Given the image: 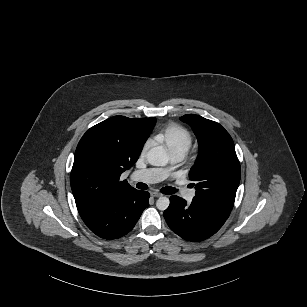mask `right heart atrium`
I'll use <instances>...</instances> for the list:
<instances>
[{"label":"right heart atrium","instance_id":"obj_1","mask_svg":"<svg viewBox=\"0 0 307 307\" xmlns=\"http://www.w3.org/2000/svg\"><path fill=\"white\" fill-rule=\"evenodd\" d=\"M151 145V142L150 141H148L146 144H145V146H144V148H143V150H146L149 146Z\"/></svg>","mask_w":307,"mask_h":307}]
</instances>
